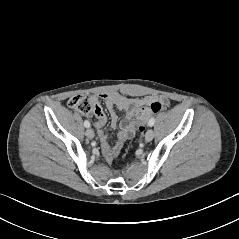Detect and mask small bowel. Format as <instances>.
Here are the masks:
<instances>
[{
  "label": "small bowel",
  "instance_id": "1",
  "mask_svg": "<svg viewBox=\"0 0 239 239\" xmlns=\"http://www.w3.org/2000/svg\"><path fill=\"white\" fill-rule=\"evenodd\" d=\"M90 99L94 105L93 114L96 117L94 123L97 129L98 136L101 141L103 155L107 160H112L119 152L122 144L135 132V111L143 105L155 101L154 97L132 98L124 96L118 92L103 93L99 95H92ZM99 100H102L110 114V125L115 128L118 124V115L116 110L124 111L126 113L125 119L120 124V130L117 133V139L113 145L108 141L107 135L103 128L107 122L106 114L104 113ZM168 104V101H164Z\"/></svg>",
  "mask_w": 239,
  "mask_h": 239
}]
</instances>
